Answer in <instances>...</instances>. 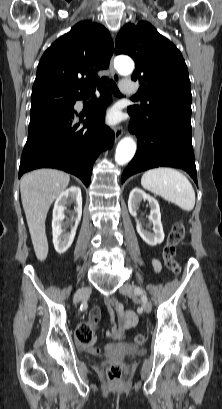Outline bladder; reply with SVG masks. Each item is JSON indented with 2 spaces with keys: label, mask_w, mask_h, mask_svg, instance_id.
<instances>
[{
  "label": "bladder",
  "mask_w": 222,
  "mask_h": 409,
  "mask_svg": "<svg viewBox=\"0 0 222 409\" xmlns=\"http://www.w3.org/2000/svg\"><path fill=\"white\" fill-rule=\"evenodd\" d=\"M145 350L134 346L124 345L114 350L116 356H135L143 354Z\"/></svg>",
  "instance_id": "bladder-1"
}]
</instances>
